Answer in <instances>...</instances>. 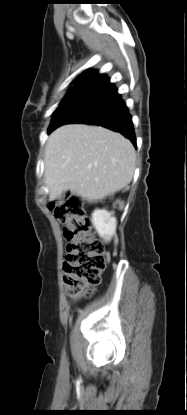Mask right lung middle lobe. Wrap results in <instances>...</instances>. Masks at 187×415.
I'll return each instance as SVG.
<instances>
[{
    "label": "right lung middle lobe",
    "instance_id": "right-lung-middle-lobe-1",
    "mask_svg": "<svg viewBox=\"0 0 187 415\" xmlns=\"http://www.w3.org/2000/svg\"><path fill=\"white\" fill-rule=\"evenodd\" d=\"M70 98V93H68L67 95H66V97L64 98V100H63V102L60 104V106L61 105H63V104H65L67 101H68V99Z\"/></svg>",
    "mask_w": 187,
    "mask_h": 415
}]
</instances>
